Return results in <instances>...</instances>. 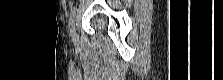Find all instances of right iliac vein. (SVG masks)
<instances>
[{"instance_id": "obj_1", "label": "right iliac vein", "mask_w": 223, "mask_h": 80, "mask_svg": "<svg viewBox=\"0 0 223 80\" xmlns=\"http://www.w3.org/2000/svg\"><path fill=\"white\" fill-rule=\"evenodd\" d=\"M76 38V35H75V30H74V33H73V36H72V39L75 40Z\"/></svg>"}]
</instances>
